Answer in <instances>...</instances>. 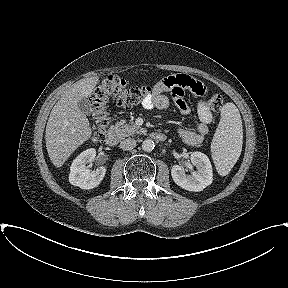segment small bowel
I'll use <instances>...</instances> for the list:
<instances>
[{
  "instance_id": "small-bowel-1",
  "label": "small bowel",
  "mask_w": 288,
  "mask_h": 288,
  "mask_svg": "<svg viewBox=\"0 0 288 288\" xmlns=\"http://www.w3.org/2000/svg\"><path fill=\"white\" fill-rule=\"evenodd\" d=\"M186 90L192 91L199 97H203L207 92L201 82L189 76H169L153 86L151 95L142 102V106L148 110L153 108L167 109L170 106V100L167 94L170 93L175 106L182 114L187 115L190 109L183 98ZM197 115L199 123L197 124L196 131L183 128L178 131L182 141L189 146H198L203 142L209 132V125L213 121V114L206 101L201 100L197 104Z\"/></svg>"
}]
</instances>
